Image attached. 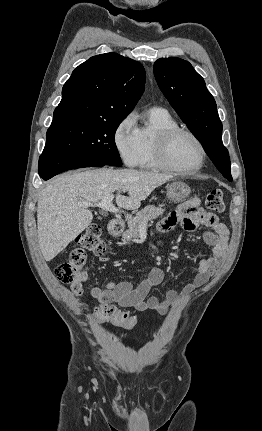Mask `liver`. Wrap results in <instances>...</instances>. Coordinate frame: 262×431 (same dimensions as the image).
Returning <instances> with one entry per match:
<instances>
[{
    "instance_id": "1",
    "label": "liver",
    "mask_w": 262,
    "mask_h": 431,
    "mask_svg": "<svg viewBox=\"0 0 262 431\" xmlns=\"http://www.w3.org/2000/svg\"><path fill=\"white\" fill-rule=\"evenodd\" d=\"M173 176L134 169H86L53 179L39 193L37 206L38 242L46 261L52 260L83 232L93 219L81 202L96 203L116 195V204L135 210L152 191ZM128 193V196L120 194Z\"/></svg>"
}]
</instances>
